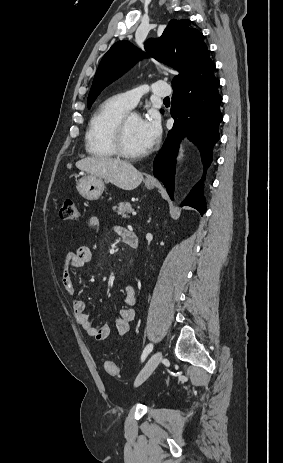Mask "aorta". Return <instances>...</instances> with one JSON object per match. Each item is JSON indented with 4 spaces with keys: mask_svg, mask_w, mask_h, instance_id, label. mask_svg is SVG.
Wrapping results in <instances>:
<instances>
[{
    "mask_svg": "<svg viewBox=\"0 0 283 463\" xmlns=\"http://www.w3.org/2000/svg\"><path fill=\"white\" fill-rule=\"evenodd\" d=\"M182 157H183V145L180 146V150H179V154H178L177 159H178V160H181Z\"/></svg>",
    "mask_w": 283,
    "mask_h": 463,
    "instance_id": "1",
    "label": "aorta"
}]
</instances>
